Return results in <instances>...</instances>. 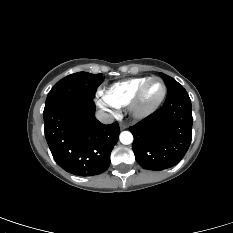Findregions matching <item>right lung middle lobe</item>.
Masks as SVG:
<instances>
[{
  "label": "right lung middle lobe",
  "instance_id": "dd1d6c3e",
  "mask_svg": "<svg viewBox=\"0 0 233 233\" xmlns=\"http://www.w3.org/2000/svg\"><path fill=\"white\" fill-rule=\"evenodd\" d=\"M102 74H91L78 72L61 79L49 92L45 109H49L56 104L79 97L93 99L97 87L103 82Z\"/></svg>",
  "mask_w": 233,
  "mask_h": 233
}]
</instances>
